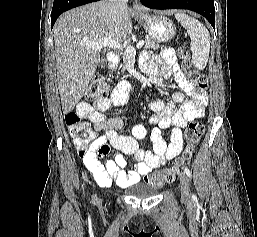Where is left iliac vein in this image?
<instances>
[{"label": "left iliac vein", "mask_w": 257, "mask_h": 237, "mask_svg": "<svg viewBox=\"0 0 257 237\" xmlns=\"http://www.w3.org/2000/svg\"><path fill=\"white\" fill-rule=\"evenodd\" d=\"M180 187L181 197L183 201H189L191 199L189 179L186 174H180Z\"/></svg>", "instance_id": "left-iliac-vein-1"}]
</instances>
